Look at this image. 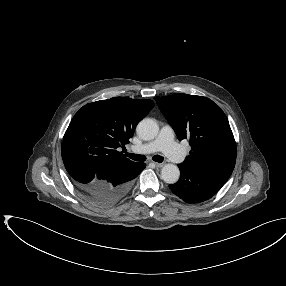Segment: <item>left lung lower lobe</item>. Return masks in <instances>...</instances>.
<instances>
[{
	"instance_id": "0a47b994",
	"label": "left lung lower lobe",
	"mask_w": 286,
	"mask_h": 286,
	"mask_svg": "<svg viewBox=\"0 0 286 286\" xmlns=\"http://www.w3.org/2000/svg\"><path fill=\"white\" fill-rule=\"evenodd\" d=\"M181 173L179 181L169 185L170 190L188 203H199L214 196L225 182L197 172L189 167L178 165Z\"/></svg>"
}]
</instances>
